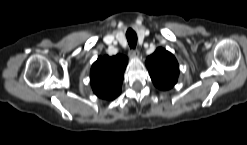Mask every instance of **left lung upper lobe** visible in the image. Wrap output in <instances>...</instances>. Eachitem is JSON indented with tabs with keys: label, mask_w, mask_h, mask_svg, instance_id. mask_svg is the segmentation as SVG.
<instances>
[{
	"label": "left lung upper lobe",
	"mask_w": 247,
	"mask_h": 145,
	"mask_svg": "<svg viewBox=\"0 0 247 145\" xmlns=\"http://www.w3.org/2000/svg\"><path fill=\"white\" fill-rule=\"evenodd\" d=\"M146 66L154 85L159 89L168 90L176 84L179 75L178 62L166 49L157 48L147 57Z\"/></svg>",
	"instance_id": "5c2ea615"
}]
</instances>
